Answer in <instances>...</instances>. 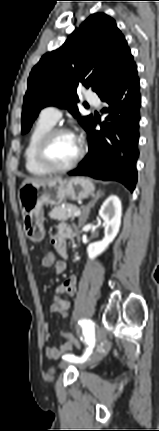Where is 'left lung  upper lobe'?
Here are the masks:
<instances>
[{"label":"left lung upper lobe","instance_id":"left-lung-upper-lobe-1","mask_svg":"<svg viewBox=\"0 0 159 431\" xmlns=\"http://www.w3.org/2000/svg\"><path fill=\"white\" fill-rule=\"evenodd\" d=\"M133 62L115 21L104 13L91 15L59 49L46 53L32 69L24 96L22 133L30 130L46 106L68 108L78 117V86L91 87L100 96ZM92 121V115L79 118L85 130Z\"/></svg>","mask_w":159,"mask_h":431}]
</instances>
